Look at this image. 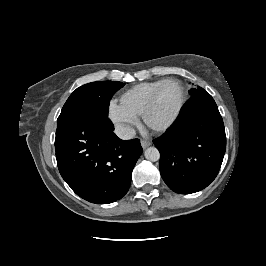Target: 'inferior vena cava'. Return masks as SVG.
Listing matches in <instances>:
<instances>
[{
	"mask_svg": "<svg viewBox=\"0 0 266 266\" xmlns=\"http://www.w3.org/2000/svg\"><path fill=\"white\" fill-rule=\"evenodd\" d=\"M115 134L123 140L132 139L135 137L136 132L133 128L124 125H118L115 127Z\"/></svg>",
	"mask_w": 266,
	"mask_h": 266,
	"instance_id": "1",
	"label": "inferior vena cava"
}]
</instances>
